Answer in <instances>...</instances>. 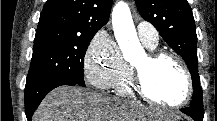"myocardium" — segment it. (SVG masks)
<instances>
[{
  "instance_id": "1",
  "label": "myocardium",
  "mask_w": 217,
  "mask_h": 121,
  "mask_svg": "<svg viewBox=\"0 0 217 121\" xmlns=\"http://www.w3.org/2000/svg\"><path fill=\"white\" fill-rule=\"evenodd\" d=\"M165 58L173 61L180 68L185 78L186 90H185L183 97L179 101L175 103H164L161 100L152 96L149 93L146 83H145L143 66L133 65L131 67L133 85H134L135 91L142 98H144L145 100L153 104L160 105V106L167 107V108H172V109L180 108L184 106L185 104H187L193 95V81H192L191 73L186 63L183 61L181 57H179L178 55L172 52L165 51V50H156V51L149 52L145 56L146 65L149 66V65L158 64L161 60Z\"/></svg>"
}]
</instances>
